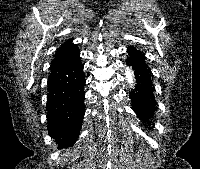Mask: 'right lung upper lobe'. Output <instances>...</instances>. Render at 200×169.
Instances as JSON below:
<instances>
[{"mask_svg": "<svg viewBox=\"0 0 200 169\" xmlns=\"http://www.w3.org/2000/svg\"><path fill=\"white\" fill-rule=\"evenodd\" d=\"M79 50L72 40L65 42L56 52L52 65L60 64L73 59L79 54Z\"/></svg>", "mask_w": 200, "mask_h": 169, "instance_id": "cb5924a9", "label": "right lung upper lobe"}]
</instances>
